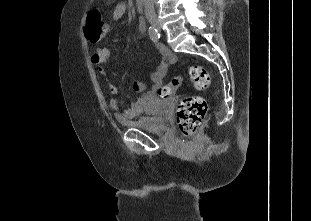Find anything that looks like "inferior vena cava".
<instances>
[{"label":"inferior vena cava","mask_w":311,"mask_h":221,"mask_svg":"<svg viewBox=\"0 0 311 221\" xmlns=\"http://www.w3.org/2000/svg\"><path fill=\"white\" fill-rule=\"evenodd\" d=\"M145 6V14L146 16H156L155 8H154V0H143Z\"/></svg>","instance_id":"1"}]
</instances>
